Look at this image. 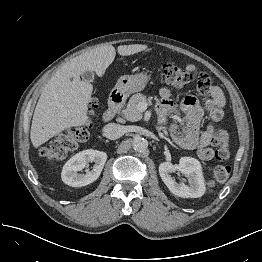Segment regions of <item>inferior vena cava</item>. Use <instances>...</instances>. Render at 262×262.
Wrapping results in <instances>:
<instances>
[{
	"mask_svg": "<svg viewBox=\"0 0 262 262\" xmlns=\"http://www.w3.org/2000/svg\"><path fill=\"white\" fill-rule=\"evenodd\" d=\"M125 133V128L116 123H109L103 128V135L111 140L120 138Z\"/></svg>",
	"mask_w": 262,
	"mask_h": 262,
	"instance_id": "1",
	"label": "inferior vena cava"
}]
</instances>
